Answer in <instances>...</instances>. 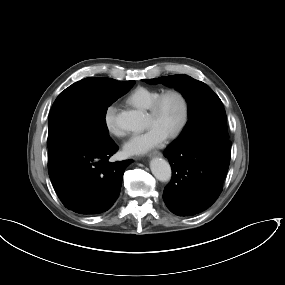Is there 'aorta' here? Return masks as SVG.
Segmentation results:
<instances>
[{
	"mask_svg": "<svg viewBox=\"0 0 285 285\" xmlns=\"http://www.w3.org/2000/svg\"><path fill=\"white\" fill-rule=\"evenodd\" d=\"M116 125L126 131H139L144 127V115L137 110L122 111L115 118ZM152 174L161 182H168L172 176L170 164L162 158L150 162Z\"/></svg>",
	"mask_w": 285,
	"mask_h": 285,
	"instance_id": "1",
	"label": "aorta"
}]
</instances>
